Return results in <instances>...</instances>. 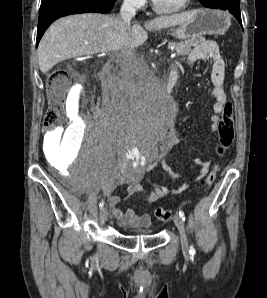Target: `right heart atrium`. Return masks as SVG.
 Here are the masks:
<instances>
[{
	"mask_svg": "<svg viewBox=\"0 0 267 298\" xmlns=\"http://www.w3.org/2000/svg\"><path fill=\"white\" fill-rule=\"evenodd\" d=\"M125 3L133 8L140 9L145 6L146 0H124Z\"/></svg>",
	"mask_w": 267,
	"mask_h": 298,
	"instance_id": "1",
	"label": "right heart atrium"
}]
</instances>
